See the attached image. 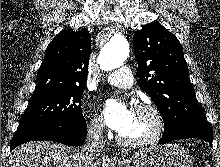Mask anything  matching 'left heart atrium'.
<instances>
[{"label":"left heart atrium","instance_id":"obj_1","mask_svg":"<svg viewBox=\"0 0 220 167\" xmlns=\"http://www.w3.org/2000/svg\"><path fill=\"white\" fill-rule=\"evenodd\" d=\"M132 114L133 109L115 99H109L104 103L103 116L105 123L119 133L129 125Z\"/></svg>","mask_w":220,"mask_h":167}]
</instances>
